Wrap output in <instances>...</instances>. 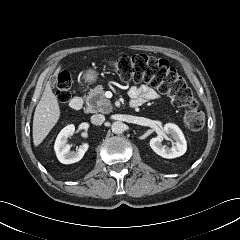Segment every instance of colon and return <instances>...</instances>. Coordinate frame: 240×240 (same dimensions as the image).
Instances as JSON below:
<instances>
[{
  "mask_svg": "<svg viewBox=\"0 0 240 240\" xmlns=\"http://www.w3.org/2000/svg\"><path fill=\"white\" fill-rule=\"evenodd\" d=\"M111 67L122 80L148 83L167 95L175 106L184 109V122L189 129L203 128L204 114L191 88L166 60L137 54L111 61ZM56 97L60 104H66L71 98V77L67 72L58 76Z\"/></svg>",
  "mask_w": 240,
  "mask_h": 240,
  "instance_id": "5ec220e1",
  "label": "colon"
}]
</instances>
